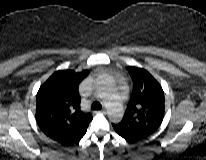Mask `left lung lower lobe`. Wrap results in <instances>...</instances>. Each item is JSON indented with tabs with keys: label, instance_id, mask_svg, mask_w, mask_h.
Listing matches in <instances>:
<instances>
[{
	"label": "left lung lower lobe",
	"instance_id": "1",
	"mask_svg": "<svg viewBox=\"0 0 206 160\" xmlns=\"http://www.w3.org/2000/svg\"><path fill=\"white\" fill-rule=\"evenodd\" d=\"M120 136H122L123 138L129 140V141H137L138 139H141V138H137V137H134V136H131V135H128V134H124V133H119L117 132Z\"/></svg>",
	"mask_w": 206,
	"mask_h": 160
}]
</instances>
